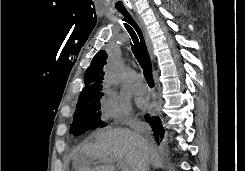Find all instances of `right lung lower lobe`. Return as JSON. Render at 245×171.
Here are the masks:
<instances>
[{"instance_id": "1", "label": "right lung lower lobe", "mask_w": 245, "mask_h": 171, "mask_svg": "<svg viewBox=\"0 0 245 171\" xmlns=\"http://www.w3.org/2000/svg\"><path fill=\"white\" fill-rule=\"evenodd\" d=\"M145 120L151 125V128L155 136V140L157 142L161 141L164 137V129L161 125L160 117L158 116L150 117V115L146 114Z\"/></svg>"}]
</instances>
